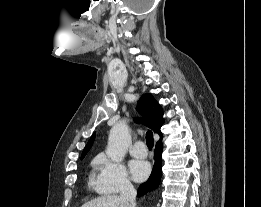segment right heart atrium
<instances>
[{
  "label": "right heart atrium",
  "mask_w": 261,
  "mask_h": 207,
  "mask_svg": "<svg viewBox=\"0 0 261 207\" xmlns=\"http://www.w3.org/2000/svg\"><path fill=\"white\" fill-rule=\"evenodd\" d=\"M98 174L93 186L100 194H114L132 188V182L125 166L105 155L97 157Z\"/></svg>",
  "instance_id": "obj_1"
}]
</instances>
